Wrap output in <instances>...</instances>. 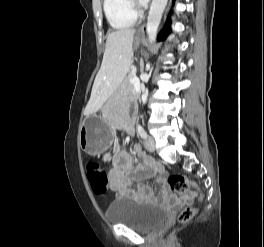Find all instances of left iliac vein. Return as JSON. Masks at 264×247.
<instances>
[{"instance_id":"obj_1","label":"left iliac vein","mask_w":264,"mask_h":247,"mask_svg":"<svg viewBox=\"0 0 264 247\" xmlns=\"http://www.w3.org/2000/svg\"><path fill=\"white\" fill-rule=\"evenodd\" d=\"M144 146L145 148L152 152L155 150V140L153 137H148L145 141H144Z\"/></svg>"}]
</instances>
